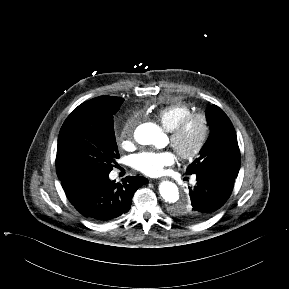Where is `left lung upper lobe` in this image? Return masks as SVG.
<instances>
[{
	"label": "left lung upper lobe",
	"mask_w": 289,
	"mask_h": 289,
	"mask_svg": "<svg viewBox=\"0 0 289 289\" xmlns=\"http://www.w3.org/2000/svg\"><path fill=\"white\" fill-rule=\"evenodd\" d=\"M210 136L200 151V156L187 168L186 174L219 171L237 177L240 167V151L234 127L227 115L216 105L206 110ZM188 207V205L186 206ZM173 210L175 215L188 219V214Z\"/></svg>",
	"instance_id": "5c2ea615"
}]
</instances>
